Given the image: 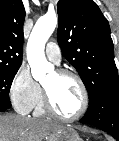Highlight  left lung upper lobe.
Wrapping results in <instances>:
<instances>
[{"label":"left lung upper lobe","instance_id":"1","mask_svg":"<svg viewBox=\"0 0 119 141\" xmlns=\"http://www.w3.org/2000/svg\"><path fill=\"white\" fill-rule=\"evenodd\" d=\"M57 12L59 46L81 76L89 103L119 91L109 23L97 4L92 0H59Z\"/></svg>","mask_w":119,"mask_h":141}]
</instances>
